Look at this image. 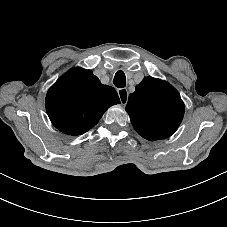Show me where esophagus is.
Instances as JSON below:
<instances>
[{
  "instance_id": "1",
  "label": "esophagus",
  "mask_w": 227,
  "mask_h": 227,
  "mask_svg": "<svg viewBox=\"0 0 227 227\" xmlns=\"http://www.w3.org/2000/svg\"><path fill=\"white\" fill-rule=\"evenodd\" d=\"M118 96L122 105H126L129 97V92L126 88L117 89Z\"/></svg>"
}]
</instances>
